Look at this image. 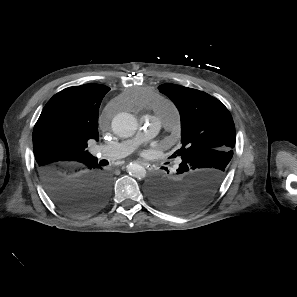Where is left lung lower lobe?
<instances>
[{
    "label": "left lung lower lobe",
    "instance_id": "left-lung-lower-lobe-1",
    "mask_svg": "<svg viewBox=\"0 0 297 297\" xmlns=\"http://www.w3.org/2000/svg\"><path fill=\"white\" fill-rule=\"evenodd\" d=\"M181 166L182 164L179 165L177 173L172 177L154 178L149 184L148 192L150 197L161 198L175 193H183V200L173 206L156 205L167 211L184 214L199 209L207 197L213 196L219 189V178L205 172L188 174ZM181 190L185 192H180Z\"/></svg>",
    "mask_w": 297,
    "mask_h": 297
}]
</instances>
